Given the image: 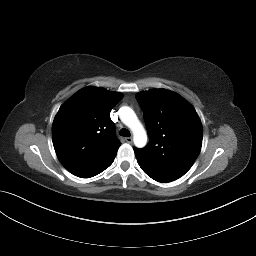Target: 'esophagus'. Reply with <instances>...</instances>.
Segmentation results:
<instances>
[{
	"instance_id": "1",
	"label": "esophagus",
	"mask_w": 256,
	"mask_h": 256,
	"mask_svg": "<svg viewBox=\"0 0 256 256\" xmlns=\"http://www.w3.org/2000/svg\"><path fill=\"white\" fill-rule=\"evenodd\" d=\"M132 141H133L132 137H127V138H126V142H127V143H132Z\"/></svg>"
}]
</instances>
